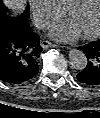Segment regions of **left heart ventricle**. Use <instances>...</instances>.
<instances>
[{"mask_svg":"<svg viewBox=\"0 0 100 118\" xmlns=\"http://www.w3.org/2000/svg\"><path fill=\"white\" fill-rule=\"evenodd\" d=\"M100 9V0H84L82 4L66 13L82 33L95 28Z\"/></svg>","mask_w":100,"mask_h":118,"instance_id":"obj_1","label":"left heart ventricle"}]
</instances>
